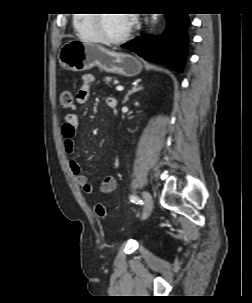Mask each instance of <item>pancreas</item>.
I'll return each mask as SVG.
<instances>
[{"label": "pancreas", "mask_w": 252, "mask_h": 303, "mask_svg": "<svg viewBox=\"0 0 252 303\" xmlns=\"http://www.w3.org/2000/svg\"><path fill=\"white\" fill-rule=\"evenodd\" d=\"M112 80V77H105L104 81L109 84Z\"/></svg>", "instance_id": "pancreas-1"}]
</instances>
